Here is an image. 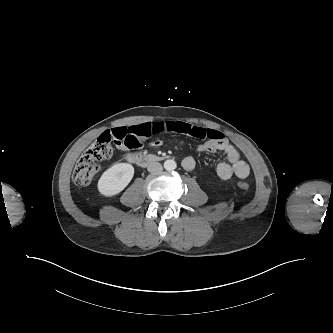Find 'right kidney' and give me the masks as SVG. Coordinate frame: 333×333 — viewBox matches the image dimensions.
<instances>
[{"label":"right kidney","instance_id":"ca27d5eb","mask_svg":"<svg viewBox=\"0 0 333 333\" xmlns=\"http://www.w3.org/2000/svg\"><path fill=\"white\" fill-rule=\"evenodd\" d=\"M133 175L134 168L131 164H114L101 175L98 181V191L105 197L117 195L130 183Z\"/></svg>","mask_w":333,"mask_h":333}]
</instances>
